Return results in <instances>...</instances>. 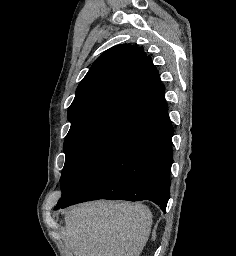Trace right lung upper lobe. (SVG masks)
Returning <instances> with one entry per match:
<instances>
[{"label": "right lung upper lobe", "instance_id": "obj_1", "mask_svg": "<svg viewBox=\"0 0 236 256\" xmlns=\"http://www.w3.org/2000/svg\"><path fill=\"white\" fill-rule=\"evenodd\" d=\"M111 113L150 124L168 115L160 76L143 48L122 44L100 55L80 82L68 119L73 126Z\"/></svg>", "mask_w": 236, "mask_h": 256}]
</instances>
